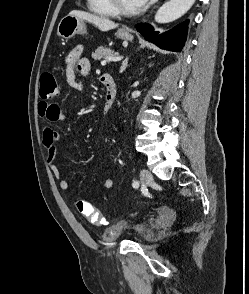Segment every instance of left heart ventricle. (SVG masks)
<instances>
[{
    "label": "left heart ventricle",
    "mask_w": 249,
    "mask_h": 294,
    "mask_svg": "<svg viewBox=\"0 0 249 294\" xmlns=\"http://www.w3.org/2000/svg\"><path fill=\"white\" fill-rule=\"evenodd\" d=\"M122 4L127 9H137L140 8L136 0H121Z\"/></svg>",
    "instance_id": "left-heart-ventricle-1"
}]
</instances>
